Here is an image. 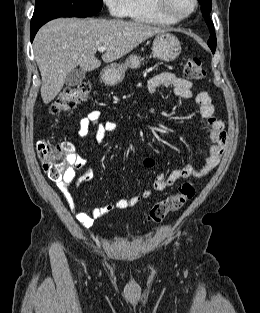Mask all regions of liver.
<instances>
[{
    "label": "liver",
    "instance_id": "liver-1",
    "mask_svg": "<svg viewBox=\"0 0 260 313\" xmlns=\"http://www.w3.org/2000/svg\"><path fill=\"white\" fill-rule=\"evenodd\" d=\"M166 31V28L120 19L58 18L46 23L33 42L44 104L58 95L66 76L77 66L85 72L101 66L95 57L99 46L107 47L102 60L110 63L153 35Z\"/></svg>",
    "mask_w": 260,
    "mask_h": 313
}]
</instances>
